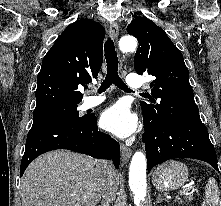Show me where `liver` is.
<instances>
[{
  "label": "liver",
  "instance_id": "obj_1",
  "mask_svg": "<svg viewBox=\"0 0 221 206\" xmlns=\"http://www.w3.org/2000/svg\"><path fill=\"white\" fill-rule=\"evenodd\" d=\"M104 162L66 150L36 158L21 179L22 206H96Z\"/></svg>",
  "mask_w": 221,
  "mask_h": 206
}]
</instances>
